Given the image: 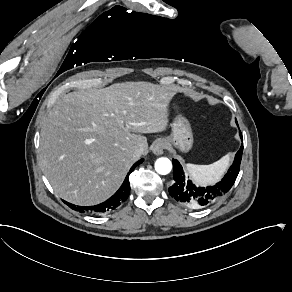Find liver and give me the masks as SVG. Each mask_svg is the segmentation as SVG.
Returning a JSON list of instances; mask_svg holds the SVG:
<instances>
[{"mask_svg":"<svg viewBox=\"0 0 292 292\" xmlns=\"http://www.w3.org/2000/svg\"><path fill=\"white\" fill-rule=\"evenodd\" d=\"M175 93L141 81L64 95L40 133V166L55 193L81 206L111 197L137 161L135 149L148 152L135 133L165 130Z\"/></svg>","mask_w":292,"mask_h":292,"instance_id":"liver-1","label":"liver"}]
</instances>
